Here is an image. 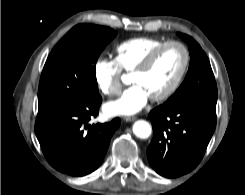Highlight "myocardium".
<instances>
[{"label": "myocardium", "mask_w": 245, "mask_h": 195, "mask_svg": "<svg viewBox=\"0 0 245 195\" xmlns=\"http://www.w3.org/2000/svg\"><path fill=\"white\" fill-rule=\"evenodd\" d=\"M170 46H178L182 49L183 51V63L181 66V69L177 75V77L174 79V81L171 83V85L164 90L162 93L152 96L151 100L155 101V102H160V101H164L166 99H168L180 86L186 72L188 69V65H189V51L186 48V46L184 44H182L181 42L178 41H167L164 42L163 44L157 46L156 48H154L152 51H150L147 56L135 67V69L132 71V75L134 74H139V73H143L145 71H147L150 66L153 64V62L155 61L156 57L159 55V53L161 51H163L164 49H166L167 47Z\"/></svg>", "instance_id": "obj_1"}]
</instances>
